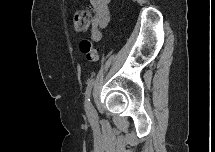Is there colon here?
Instances as JSON below:
<instances>
[{
    "mask_svg": "<svg viewBox=\"0 0 215 152\" xmlns=\"http://www.w3.org/2000/svg\"><path fill=\"white\" fill-rule=\"evenodd\" d=\"M90 11L87 8L78 10L73 17V27L78 33L87 31L90 24ZM80 51L89 62H96L98 60V52L94 44L88 40L83 39L80 42Z\"/></svg>",
    "mask_w": 215,
    "mask_h": 152,
    "instance_id": "obj_1",
    "label": "colon"
}]
</instances>
